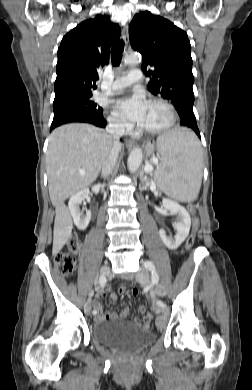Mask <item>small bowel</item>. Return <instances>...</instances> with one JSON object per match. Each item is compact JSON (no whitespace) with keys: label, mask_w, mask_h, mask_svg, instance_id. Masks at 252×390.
Listing matches in <instances>:
<instances>
[{"label":"small bowel","mask_w":252,"mask_h":390,"mask_svg":"<svg viewBox=\"0 0 252 390\" xmlns=\"http://www.w3.org/2000/svg\"><path fill=\"white\" fill-rule=\"evenodd\" d=\"M107 291L110 292V299L112 302H116L118 300V295L117 293L115 292H112L110 288L107 289ZM119 294L120 295H123L125 294V291L124 290H120L119 289ZM105 296V292L103 290L101 291H98L97 292V298L93 301L92 305L94 307V310H96L98 312V315L95 316V319L97 322H101V321H104V320H117V319H126L127 316H128V313H129V310L128 308H125L122 312L120 313H113V312H107V313H103V310H102V306H101V303L99 301V298H102ZM140 312L142 314H145L146 313V309L144 306H140L139 308ZM133 322L137 325V326H146L147 324H143L142 320L139 319V318H135L133 320Z\"/></svg>","instance_id":"obj_1"}]
</instances>
